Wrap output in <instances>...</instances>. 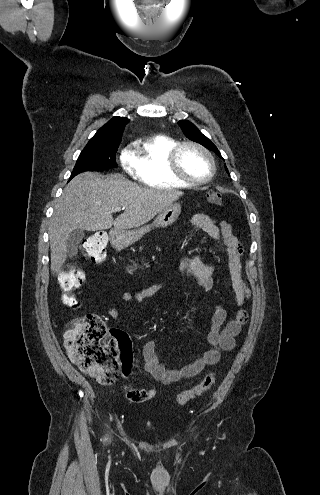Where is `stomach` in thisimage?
I'll return each instance as SVG.
<instances>
[{
  "label": "stomach",
  "mask_w": 320,
  "mask_h": 495,
  "mask_svg": "<svg viewBox=\"0 0 320 495\" xmlns=\"http://www.w3.org/2000/svg\"><path fill=\"white\" fill-rule=\"evenodd\" d=\"M181 213L180 204L172 203L164 208L156 217L152 224L143 226L135 230L114 231L111 234V243L118 247L124 248L138 241L144 234L154 228H166L172 225Z\"/></svg>",
  "instance_id": "1"
}]
</instances>
